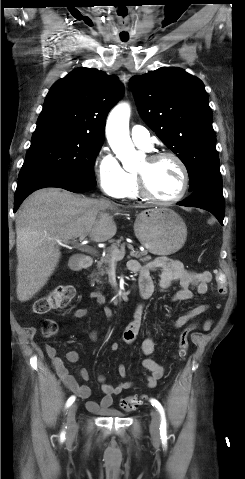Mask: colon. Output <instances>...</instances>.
<instances>
[{
	"label": "colon",
	"instance_id": "1",
	"mask_svg": "<svg viewBox=\"0 0 245 479\" xmlns=\"http://www.w3.org/2000/svg\"><path fill=\"white\" fill-rule=\"evenodd\" d=\"M217 292L220 295L226 293V288L221 275L217 278ZM75 297V289L71 285H60L55 287L48 295L36 300L32 305V312L37 315L45 314L51 310L67 307ZM196 328V324H190L185 327L179 335L177 356L183 359L189 348V336ZM42 334L51 337L57 334L58 324L53 319H43L41 322ZM141 400L137 397H126L120 402L123 411L129 412L135 410Z\"/></svg>",
	"mask_w": 245,
	"mask_h": 479
}]
</instances>
